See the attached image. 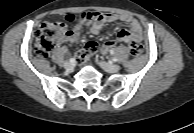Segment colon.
Listing matches in <instances>:
<instances>
[{
    "mask_svg": "<svg viewBox=\"0 0 194 133\" xmlns=\"http://www.w3.org/2000/svg\"><path fill=\"white\" fill-rule=\"evenodd\" d=\"M74 17L68 15L65 17L66 22L73 21ZM67 25L65 22H46L40 25L36 31L35 52L37 56L46 58L56 45V43L66 34ZM130 53L137 57L142 52V45L138 41H132L129 44ZM96 51V44L88 42L85 47L77 54V60L84 63Z\"/></svg>",
    "mask_w": 194,
    "mask_h": 133,
    "instance_id": "obj_1",
    "label": "colon"
}]
</instances>
